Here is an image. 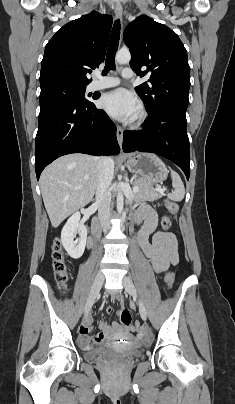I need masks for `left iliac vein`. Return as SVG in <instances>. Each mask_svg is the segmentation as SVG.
I'll return each mask as SVG.
<instances>
[{
	"mask_svg": "<svg viewBox=\"0 0 235 404\" xmlns=\"http://www.w3.org/2000/svg\"><path fill=\"white\" fill-rule=\"evenodd\" d=\"M122 282H123L124 288L127 291V293H129L131 296L136 298L138 305H139V312H140L141 318L144 321H146V319H147L146 308H145L143 302L137 296L136 288H135V285H134L132 279L129 276H124Z\"/></svg>",
	"mask_w": 235,
	"mask_h": 404,
	"instance_id": "obj_1",
	"label": "left iliac vein"
}]
</instances>
